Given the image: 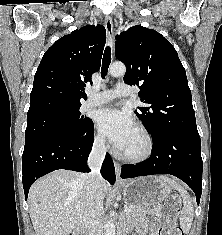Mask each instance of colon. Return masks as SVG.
<instances>
[{
	"label": "colon",
	"mask_w": 222,
	"mask_h": 235,
	"mask_svg": "<svg viewBox=\"0 0 222 235\" xmlns=\"http://www.w3.org/2000/svg\"><path fill=\"white\" fill-rule=\"evenodd\" d=\"M180 201L177 198L169 199L164 205V225L159 235H183L177 227L176 217L180 212Z\"/></svg>",
	"instance_id": "colon-1"
}]
</instances>
